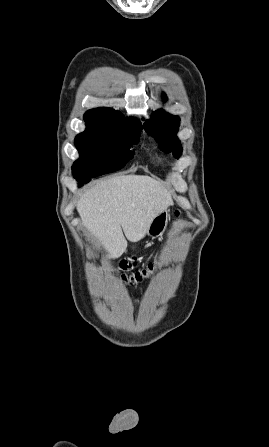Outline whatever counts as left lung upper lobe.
<instances>
[{"mask_svg": "<svg viewBox=\"0 0 269 447\" xmlns=\"http://www.w3.org/2000/svg\"><path fill=\"white\" fill-rule=\"evenodd\" d=\"M163 97L165 99V96ZM179 121V117L159 110L154 112L152 118L144 123L145 131L159 142L160 147L165 152L174 150L173 155L177 158L182 153L180 141L176 137Z\"/></svg>", "mask_w": 269, "mask_h": 447, "instance_id": "left-lung-upper-lobe-1", "label": "left lung upper lobe"}]
</instances>
